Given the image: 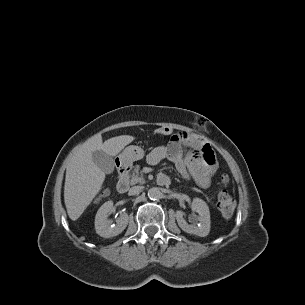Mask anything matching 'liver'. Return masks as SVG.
<instances>
[{"label": "liver", "instance_id": "obj_1", "mask_svg": "<svg viewBox=\"0 0 305 305\" xmlns=\"http://www.w3.org/2000/svg\"><path fill=\"white\" fill-rule=\"evenodd\" d=\"M134 139L130 135H121L103 143L101 135L96 134L75 150L66 168L64 185V202L71 220L81 216L100 192L105 180V172L94 163L92 153L101 150L116 156Z\"/></svg>", "mask_w": 305, "mask_h": 305}]
</instances>
